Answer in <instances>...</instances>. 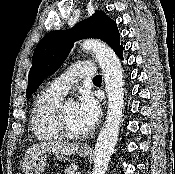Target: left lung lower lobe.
<instances>
[{
    "label": "left lung lower lobe",
    "mask_w": 175,
    "mask_h": 174,
    "mask_svg": "<svg viewBox=\"0 0 175 174\" xmlns=\"http://www.w3.org/2000/svg\"><path fill=\"white\" fill-rule=\"evenodd\" d=\"M122 52H123V48L120 49V51L117 53V55L123 60Z\"/></svg>",
    "instance_id": "obj_1"
}]
</instances>
